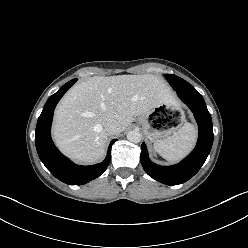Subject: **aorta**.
I'll list each match as a JSON object with an SVG mask.
<instances>
[{"mask_svg": "<svg viewBox=\"0 0 248 248\" xmlns=\"http://www.w3.org/2000/svg\"><path fill=\"white\" fill-rule=\"evenodd\" d=\"M127 139L132 143H139L141 141V134L137 130H132L128 132Z\"/></svg>", "mask_w": 248, "mask_h": 248, "instance_id": "762f6f07", "label": "aorta"}]
</instances>
